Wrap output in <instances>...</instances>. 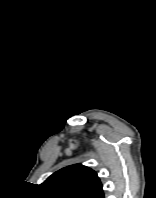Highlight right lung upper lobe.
Masks as SVG:
<instances>
[{
    "label": "right lung upper lobe",
    "mask_w": 156,
    "mask_h": 198,
    "mask_svg": "<svg viewBox=\"0 0 156 198\" xmlns=\"http://www.w3.org/2000/svg\"><path fill=\"white\" fill-rule=\"evenodd\" d=\"M40 187L50 198H104L96 172L81 164L55 172Z\"/></svg>",
    "instance_id": "1"
}]
</instances>
